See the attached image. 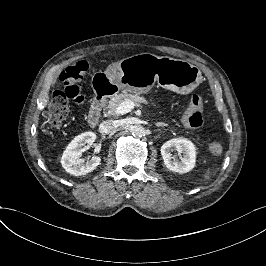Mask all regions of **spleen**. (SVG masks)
Masks as SVG:
<instances>
[{
    "mask_svg": "<svg viewBox=\"0 0 266 266\" xmlns=\"http://www.w3.org/2000/svg\"><path fill=\"white\" fill-rule=\"evenodd\" d=\"M212 174H215V171L212 172ZM211 175L210 169H207L206 173L204 174V179L209 180Z\"/></svg>",
    "mask_w": 266,
    "mask_h": 266,
    "instance_id": "1",
    "label": "spleen"
}]
</instances>
